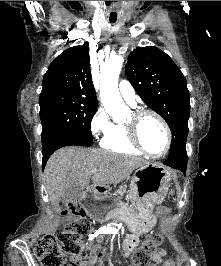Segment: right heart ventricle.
Returning a JSON list of instances; mask_svg holds the SVG:
<instances>
[{"label": "right heart ventricle", "instance_id": "1", "mask_svg": "<svg viewBox=\"0 0 221 266\" xmlns=\"http://www.w3.org/2000/svg\"><path fill=\"white\" fill-rule=\"evenodd\" d=\"M102 148L121 154L140 155L141 152L131 143L125 124L113 123L109 132L101 140Z\"/></svg>", "mask_w": 221, "mask_h": 266}]
</instances>
